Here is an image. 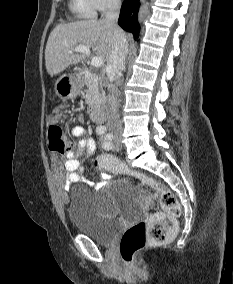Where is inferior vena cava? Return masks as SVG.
<instances>
[{
	"label": "inferior vena cava",
	"mask_w": 233,
	"mask_h": 284,
	"mask_svg": "<svg viewBox=\"0 0 233 284\" xmlns=\"http://www.w3.org/2000/svg\"><path fill=\"white\" fill-rule=\"evenodd\" d=\"M120 0H110L108 11L105 15V21L113 26L114 42L113 49L107 63V76L110 82H113L121 76V72L125 69V58L128 54V42L125 33L117 26V20L120 13ZM109 116L107 127L118 134L122 130V121L118 114L119 96L114 86L110 87L108 95Z\"/></svg>",
	"instance_id": "602c4592"
}]
</instances>
